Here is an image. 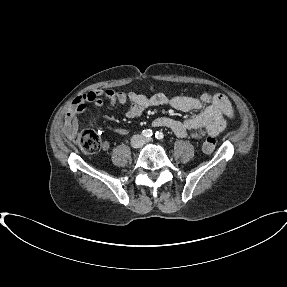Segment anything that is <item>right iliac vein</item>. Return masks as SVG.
I'll return each mask as SVG.
<instances>
[{
  "mask_svg": "<svg viewBox=\"0 0 287 287\" xmlns=\"http://www.w3.org/2000/svg\"><path fill=\"white\" fill-rule=\"evenodd\" d=\"M141 144V138L139 136H135L133 137L132 141H131V146L133 148H138Z\"/></svg>",
  "mask_w": 287,
  "mask_h": 287,
  "instance_id": "obj_1",
  "label": "right iliac vein"
}]
</instances>
